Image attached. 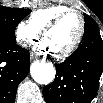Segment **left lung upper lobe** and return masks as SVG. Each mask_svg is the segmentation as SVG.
<instances>
[{
	"label": "left lung upper lobe",
	"mask_w": 103,
	"mask_h": 103,
	"mask_svg": "<svg viewBox=\"0 0 103 103\" xmlns=\"http://www.w3.org/2000/svg\"><path fill=\"white\" fill-rule=\"evenodd\" d=\"M85 18V30L97 27L96 22L88 15L84 14Z\"/></svg>",
	"instance_id": "left-lung-upper-lobe-1"
}]
</instances>
